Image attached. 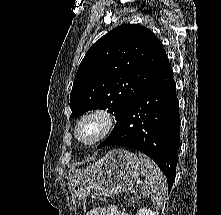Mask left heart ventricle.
<instances>
[{"label": "left heart ventricle", "instance_id": "b2bd125f", "mask_svg": "<svg viewBox=\"0 0 221 215\" xmlns=\"http://www.w3.org/2000/svg\"><path fill=\"white\" fill-rule=\"evenodd\" d=\"M99 129V123L96 120H88L83 124L80 130V136L83 140L93 138Z\"/></svg>", "mask_w": 221, "mask_h": 215}]
</instances>
